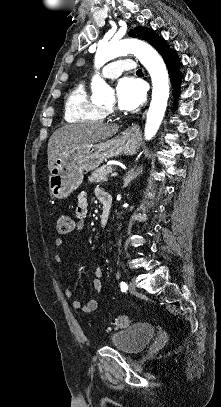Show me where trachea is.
Segmentation results:
<instances>
[{"label":"trachea","instance_id":"3493384b","mask_svg":"<svg viewBox=\"0 0 221 407\" xmlns=\"http://www.w3.org/2000/svg\"><path fill=\"white\" fill-rule=\"evenodd\" d=\"M137 72H138V73H139V72H142V69H139Z\"/></svg>","mask_w":221,"mask_h":407}]
</instances>
